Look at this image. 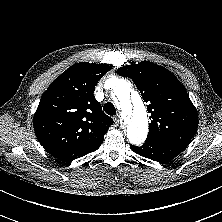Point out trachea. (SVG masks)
Instances as JSON below:
<instances>
[{
  "mask_svg": "<svg viewBox=\"0 0 222 222\" xmlns=\"http://www.w3.org/2000/svg\"><path fill=\"white\" fill-rule=\"evenodd\" d=\"M103 110L110 116L116 115V109L115 106L111 103L108 102L103 106Z\"/></svg>",
  "mask_w": 222,
  "mask_h": 222,
  "instance_id": "obj_1",
  "label": "trachea"
}]
</instances>
